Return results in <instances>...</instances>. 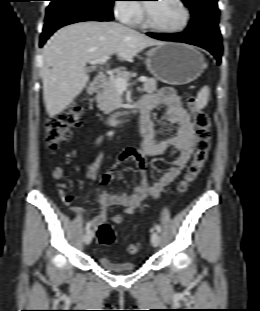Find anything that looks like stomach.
<instances>
[{
	"instance_id": "obj_1",
	"label": "stomach",
	"mask_w": 260,
	"mask_h": 311,
	"mask_svg": "<svg viewBox=\"0 0 260 311\" xmlns=\"http://www.w3.org/2000/svg\"><path fill=\"white\" fill-rule=\"evenodd\" d=\"M146 66L163 83L188 84L205 69L204 56L194 47L181 43H164L147 52Z\"/></svg>"
}]
</instances>
